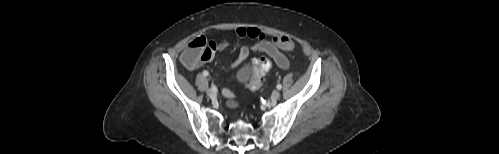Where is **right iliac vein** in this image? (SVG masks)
<instances>
[{
    "instance_id": "right-iliac-vein-1",
    "label": "right iliac vein",
    "mask_w": 499,
    "mask_h": 154,
    "mask_svg": "<svg viewBox=\"0 0 499 154\" xmlns=\"http://www.w3.org/2000/svg\"><path fill=\"white\" fill-rule=\"evenodd\" d=\"M207 96L211 99L215 98L216 97V94L215 92L212 90V89H208L207 90Z\"/></svg>"
}]
</instances>
